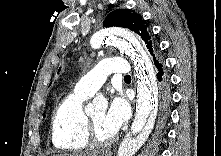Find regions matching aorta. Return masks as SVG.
<instances>
[{
    "label": "aorta",
    "mask_w": 221,
    "mask_h": 156,
    "mask_svg": "<svg viewBox=\"0 0 221 156\" xmlns=\"http://www.w3.org/2000/svg\"><path fill=\"white\" fill-rule=\"evenodd\" d=\"M102 39L103 44L119 49L134 62L137 77L136 114L119 153V156H131L147 140L154 126L158 93L156 76L148 55L132 33L112 28L104 33ZM97 108H106V102L95 99L85 111L91 114Z\"/></svg>",
    "instance_id": "aorta-1"
}]
</instances>
